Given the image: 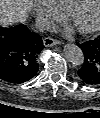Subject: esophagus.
Listing matches in <instances>:
<instances>
[{
  "label": "esophagus",
  "instance_id": "obj_1",
  "mask_svg": "<svg viewBox=\"0 0 100 118\" xmlns=\"http://www.w3.org/2000/svg\"><path fill=\"white\" fill-rule=\"evenodd\" d=\"M43 44L45 45V47H52L57 44H60V41H58L52 37H46L43 39Z\"/></svg>",
  "mask_w": 100,
  "mask_h": 118
}]
</instances>
